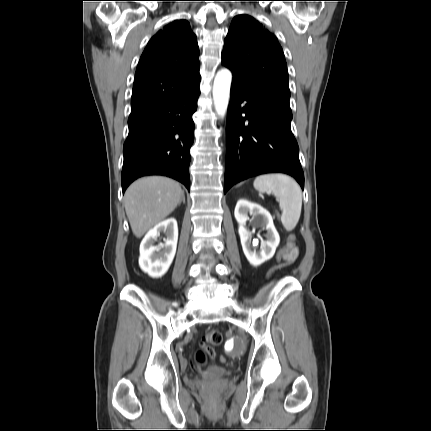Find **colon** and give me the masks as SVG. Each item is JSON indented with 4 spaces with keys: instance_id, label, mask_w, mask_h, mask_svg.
<instances>
[{
    "instance_id": "obj_1",
    "label": "colon",
    "mask_w": 431,
    "mask_h": 431,
    "mask_svg": "<svg viewBox=\"0 0 431 431\" xmlns=\"http://www.w3.org/2000/svg\"><path fill=\"white\" fill-rule=\"evenodd\" d=\"M291 240H294L296 242L295 235H289L285 246H288V243ZM283 253H287V251H285V247L283 249L276 250V254L273 257L274 260L278 262L282 261ZM222 340H223L222 333L219 330L212 329L208 331L205 335L204 342H202L200 345L201 351L198 354V359L200 361H203L205 355L210 356L211 359H215V354H214L215 349L213 346L220 345L222 343ZM220 362L225 363L226 359L222 357L220 359Z\"/></svg>"
}]
</instances>
